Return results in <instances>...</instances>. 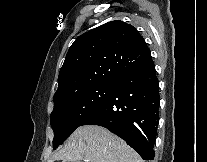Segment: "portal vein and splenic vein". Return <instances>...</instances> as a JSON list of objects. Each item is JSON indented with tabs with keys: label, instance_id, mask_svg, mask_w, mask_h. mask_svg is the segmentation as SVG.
<instances>
[{
	"label": "portal vein and splenic vein",
	"instance_id": "18ae733b",
	"mask_svg": "<svg viewBox=\"0 0 207 162\" xmlns=\"http://www.w3.org/2000/svg\"><path fill=\"white\" fill-rule=\"evenodd\" d=\"M85 162H89V160H85Z\"/></svg>",
	"mask_w": 207,
	"mask_h": 162
}]
</instances>
